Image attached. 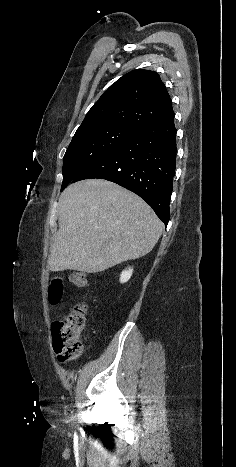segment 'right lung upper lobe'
<instances>
[{
  "label": "right lung upper lobe",
  "instance_id": "1",
  "mask_svg": "<svg viewBox=\"0 0 236 467\" xmlns=\"http://www.w3.org/2000/svg\"><path fill=\"white\" fill-rule=\"evenodd\" d=\"M173 113L170 96L159 75L137 69L122 76L103 93L76 133L104 125H121L139 131Z\"/></svg>",
  "mask_w": 236,
  "mask_h": 467
}]
</instances>
